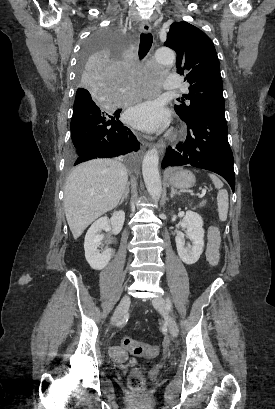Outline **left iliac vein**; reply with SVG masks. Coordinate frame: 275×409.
<instances>
[{
    "label": "left iliac vein",
    "mask_w": 275,
    "mask_h": 409,
    "mask_svg": "<svg viewBox=\"0 0 275 409\" xmlns=\"http://www.w3.org/2000/svg\"><path fill=\"white\" fill-rule=\"evenodd\" d=\"M153 306L158 309L160 312L164 313L166 315V322L168 326L169 333L173 338H176L178 336V326L175 321V319L166 313V303L163 297L158 296L152 299Z\"/></svg>",
    "instance_id": "4c4485c4"
}]
</instances>
